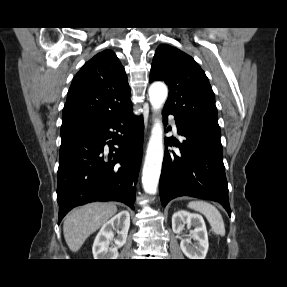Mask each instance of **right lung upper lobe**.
Returning <instances> with one entry per match:
<instances>
[{
	"label": "right lung upper lobe",
	"mask_w": 287,
	"mask_h": 287,
	"mask_svg": "<svg viewBox=\"0 0 287 287\" xmlns=\"http://www.w3.org/2000/svg\"><path fill=\"white\" fill-rule=\"evenodd\" d=\"M130 106L125 70L115 53L105 50L75 75L63 109L62 126L90 125Z\"/></svg>",
	"instance_id": "cb5924a9"
}]
</instances>
